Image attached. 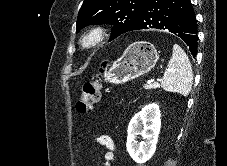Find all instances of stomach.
Segmentation results:
<instances>
[{"mask_svg":"<svg viewBox=\"0 0 227 166\" xmlns=\"http://www.w3.org/2000/svg\"><path fill=\"white\" fill-rule=\"evenodd\" d=\"M157 59L158 53L154 45L145 41L134 42L112 63L105 78L113 84L125 83L151 71Z\"/></svg>","mask_w":227,"mask_h":166,"instance_id":"1","label":"stomach"}]
</instances>
